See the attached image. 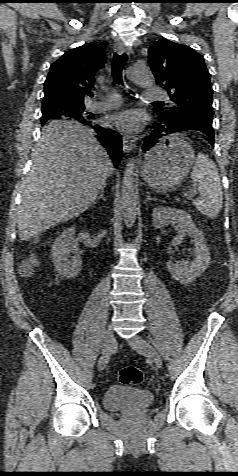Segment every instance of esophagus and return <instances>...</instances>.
Instances as JSON below:
<instances>
[{
    "label": "esophagus",
    "mask_w": 238,
    "mask_h": 476,
    "mask_svg": "<svg viewBox=\"0 0 238 476\" xmlns=\"http://www.w3.org/2000/svg\"><path fill=\"white\" fill-rule=\"evenodd\" d=\"M115 51L118 54H123L124 52H127L128 54L130 53V49L125 47L122 43H118L115 46ZM136 145V139L131 136H124L123 137V151L124 152H129L131 151Z\"/></svg>",
    "instance_id": "esophagus-1"
}]
</instances>
